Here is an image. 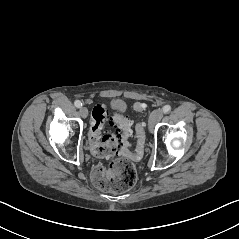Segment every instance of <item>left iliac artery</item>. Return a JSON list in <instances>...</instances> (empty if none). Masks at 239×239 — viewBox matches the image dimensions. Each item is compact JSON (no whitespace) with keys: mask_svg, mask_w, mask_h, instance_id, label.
<instances>
[{"mask_svg":"<svg viewBox=\"0 0 239 239\" xmlns=\"http://www.w3.org/2000/svg\"><path fill=\"white\" fill-rule=\"evenodd\" d=\"M170 111H171L170 105H165V106L163 107V112H164V113H169Z\"/></svg>","mask_w":239,"mask_h":239,"instance_id":"1","label":"left iliac artery"}]
</instances>
